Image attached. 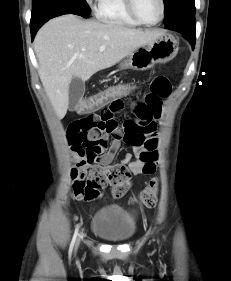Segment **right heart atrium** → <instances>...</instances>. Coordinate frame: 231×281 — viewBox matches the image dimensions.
<instances>
[{"instance_id": "right-heart-atrium-1", "label": "right heart atrium", "mask_w": 231, "mask_h": 281, "mask_svg": "<svg viewBox=\"0 0 231 281\" xmlns=\"http://www.w3.org/2000/svg\"><path fill=\"white\" fill-rule=\"evenodd\" d=\"M89 5H94L98 0H85Z\"/></svg>"}]
</instances>
